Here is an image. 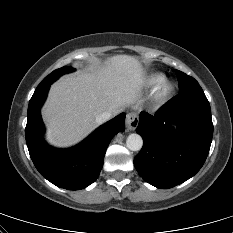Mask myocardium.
Listing matches in <instances>:
<instances>
[{"instance_id":"myocardium-1","label":"myocardium","mask_w":233,"mask_h":233,"mask_svg":"<svg viewBox=\"0 0 233 233\" xmlns=\"http://www.w3.org/2000/svg\"><path fill=\"white\" fill-rule=\"evenodd\" d=\"M173 88V84L170 81L162 80L156 89L155 99L157 101L165 99L172 93Z\"/></svg>"}]
</instances>
